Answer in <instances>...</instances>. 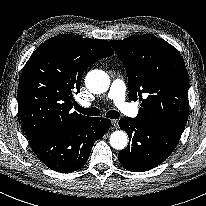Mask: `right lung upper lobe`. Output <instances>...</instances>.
<instances>
[{"label": "right lung upper lobe", "instance_id": "cb5924a9", "mask_svg": "<svg viewBox=\"0 0 206 206\" xmlns=\"http://www.w3.org/2000/svg\"><path fill=\"white\" fill-rule=\"evenodd\" d=\"M113 54L106 40L58 35L41 44L24 66L18 111L29 140L67 130L89 117L72 112L84 71Z\"/></svg>", "mask_w": 206, "mask_h": 206}]
</instances>
